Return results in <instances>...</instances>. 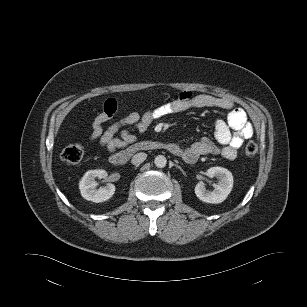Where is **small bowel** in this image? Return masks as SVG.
<instances>
[{"mask_svg": "<svg viewBox=\"0 0 307 307\" xmlns=\"http://www.w3.org/2000/svg\"><path fill=\"white\" fill-rule=\"evenodd\" d=\"M192 108H218L228 111V114L225 120L215 121L214 139L205 137L185 148L170 144L169 150L180 155L187 163H194L203 155L220 154L228 160L235 159L244 140L252 136L253 128L247 120L245 111L236 107L234 101L209 94L181 92L174 100L153 110L142 114L136 111L130 112L105 127L118 109L117 101L108 99L102 111L92 121L89 139L113 154L137 140L133 131L145 133L155 120Z\"/></svg>", "mask_w": 307, "mask_h": 307, "instance_id": "small-bowel-1", "label": "small bowel"}]
</instances>
